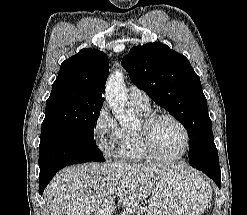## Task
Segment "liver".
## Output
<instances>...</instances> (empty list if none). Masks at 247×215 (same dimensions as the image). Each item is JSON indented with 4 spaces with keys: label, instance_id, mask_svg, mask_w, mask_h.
<instances>
[{
    "label": "liver",
    "instance_id": "6515ba94",
    "mask_svg": "<svg viewBox=\"0 0 247 215\" xmlns=\"http://www.w3.org/2000/svg\"><path fill=\"white\" fill-rule=\"evenodd\" d=\"M184 168L171 163H89L61 170L44 195L51 215H112L118 203L131 206L161 187L169 176Z\"/></svg>",
    "mask_w": 247,
    "mask_h": 215
}]
</instances>
